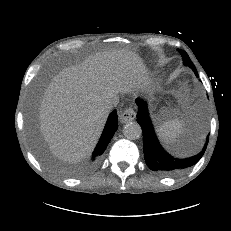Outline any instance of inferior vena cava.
<instances>
[{
    "label": "inferior vena cava",
    "instance_id": "obj_1",
    "mask_svg": "<svg viewBox=\"0 0 231 231\" xmlns=\"http://www.w3.org/2000/svg\"><path fill=\"white\" fill-rule=\"evenodd\" d=\"M119 102V97L117 95H113L110 99L106 102V109L108 112L113 108L116 107Z\"/></svg>",
    "mask_w": 231,
    "mask_h": 231
}]
</instances>
